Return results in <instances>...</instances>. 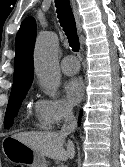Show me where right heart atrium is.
Segmentation results:
<instances>
[{"instance_id": "d8ad5b80", "label": "right heart atrium", "mask_w": 125, "mask_h": 167, "mask_svg": "<svg viewBox=\"0 0 125 167\" xmlns=\"http://www.w3.org/2000/svg\"><path fill=\"white\" fill-rule=\"evenodd\" d=\"M37 123L43 128H54L72 115L71 107L61 99L38 97L34 103Z\"/></svg>"}]
</instances>
